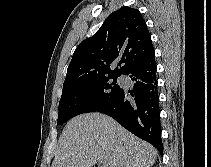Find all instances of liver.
<instances>
[{
  "instance_id": "6515ba94",
  "label": "liver",
  "mask_w": 211,
  "mask_h": 167,
  "mask_svg": "<svg viewBox=\"0 0 211 167\" xmlns=\"http://www.w3.org/2000/svg\"><path fill=\"white\" fill-rule=\"evenodd\" d=\"M158 155L147 142L135 137L114 119L89 113L71 119L62 131L52 167H151Z\"/></svg>"
}]
</instances>
